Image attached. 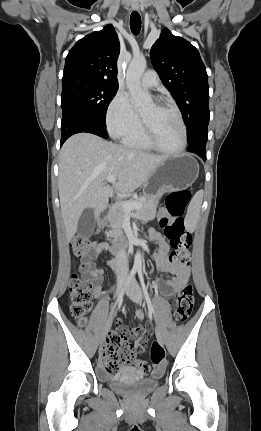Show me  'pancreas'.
Returning a JSON list of instances; mask_svg holds the SVG:
<instances>
[{
	"label": "pancreas",
	"mask_w": 261,
	"mask_h": 431,
	"mask_svg": "<svg viewBox=\"0 0 261 431\" xmlns=\"http://www.w3.org/2000/svg\"><path fill=\"white\" fill-rule=\"evenodd\" d=\"M160 197L148 198L146 196H140L137 199H130L127 202H139L142 204V207L136 209L134 213H131V216L137 218H149L154 216L156 213V209L159 203ZM127 211L120 204H114L109 211V222L110 227L113 229L109 233V235H114L116 233H122V226L126 219Z\"/></svg>",
	"instance_id": "pancreas-1"
}]
</instances>
